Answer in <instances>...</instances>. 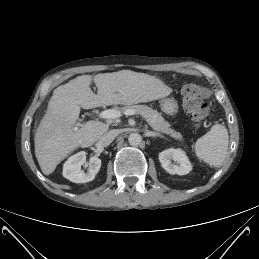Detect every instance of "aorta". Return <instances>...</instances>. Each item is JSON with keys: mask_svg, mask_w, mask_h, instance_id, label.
Instances as JSON below:
<instances>
[{"mask_svg": "<svg viewBox=\"0 0 259 259\" xmlns=\"http://www.w3.org/2000/svg\"><path fill=\"white\" fill-rule=\"evenodd\" d=\"M128 142L132 146H139L142 143V136L138 133H131L128 137Z\"/></svg>", "mask_w": 259, "mask_h": 259, "instance_id": "1", "label": "aorta"}]
</instances>
